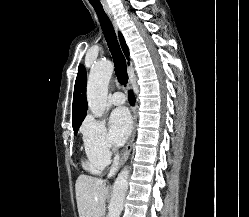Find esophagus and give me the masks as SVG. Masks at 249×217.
<instances>
[{
  "mask_svg": "<svg viewBox=\"0 0 249 217\" xmlns=\"http://www.w3.org/2000/svg\"><path fill=\"white\" fill-rule=\"evenodd\" d=\"M104 10L107 14V16L109 17L110 21L112 22V25L115 29V31L117 32L118 31V25H117V22L113 16V13L112 11L110 10L109 7H104ZM132 132H131V135H130V138H129V141L127 143V146L125 148V151H124V154L122 156V159H121V163H123L129 156L130 152H131V149H132V145H133V141L135 139V134H136V125H137V112H136V109L134 107H132Z\"/></svg>",
  "mask_w": 249,
  "mask_h": 217,
  "instance_id": "esophagus-1",
  "label": "esophagus"
}]
</instances>
